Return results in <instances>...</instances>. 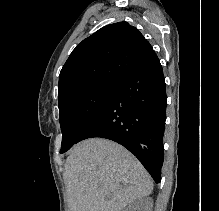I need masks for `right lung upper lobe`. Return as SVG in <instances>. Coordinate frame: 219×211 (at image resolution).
<instances>
[{
  "mask_svg": "<svg viewBox=\"0 0 219 211\" xmlns=\"http://www.w3.org/2000/svg\"><path fill=\"white\" fill-rule=\"evenodd\" d=\"M157 58L135 27L127 22L107 25L84 39L70 54L59 76V102L95 85H118Z\"/></svg>",
  "mask_w": 219,
  "mask_h": 211,
  "instance_id": "right-lung-upper-lobe-1",
  "label": "right lung upper lobe"
}]
</instances>
